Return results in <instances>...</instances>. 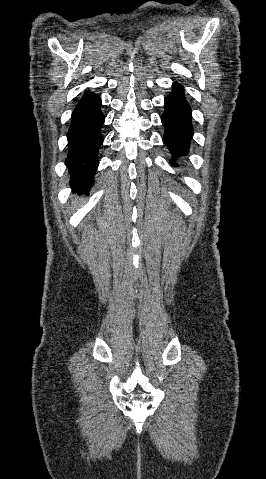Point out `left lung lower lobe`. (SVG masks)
Returning <instances> with one entry per match:
<instances>
[{
	"label": "left lung lower lobe",
	"instance_id": "obj_1",
	"mask_svg": "<svg viewBox=\"0 0 266 479\" xmlns=\"http://www.w3.org/2000/svg\"><path fill=\"white\" fill-rule=\"evenodd\" d=\"M183 92V87L175 82L171 94L164 101L165 111L162 123L165 134L163 141L172 154L173 158L170 161L172 166L187 159L193 137L191 108Z\"/></svg>",
	"mask_w": 266,
	"mask_h": 479
}]
</instances>
